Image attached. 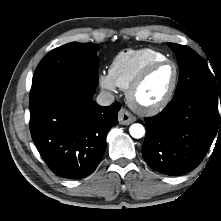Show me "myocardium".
<instances>
[{
  "mask_svg": "<svg viewBox=\"0 0 221 221\" xmlns=\"http://www.w3.org/2000/svg\"><path fill=\"white\" fill-rule=\"evenodd\" d=\"M165 64L172 65L174 69V76L173 80L171 82L170 87L168 88L165 95L155 104L152 105H142L140 104L136 99V93L140 86L144 83V81L147 79L149 74L157 67ZM179 80V68L177 64L168 58L153 61L149 64H147L140 73L135 77V79L131 82L129 87L126 90V96L127 100L130 104V106L136 110L139 113L146 114V115H153L160 111H162L172 100L173 95L176 91L177 85Z\"/></svg>",
  "mask_w": 221,
  "mask_h": 221,
  "instance_id": "f54148a6",
  "label": "myocardium"
}]
</instances>
